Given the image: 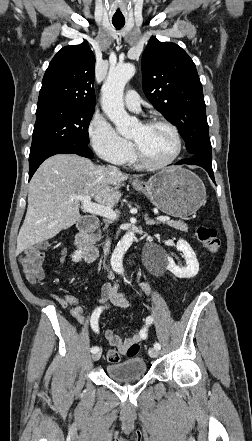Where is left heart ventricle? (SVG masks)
Returning <instances> with one entry per match:
<instances>
[{
	"instance_id": "obj_1",
	"label": "left heart ventricle",
	"mask_w": 252,
	"mask_h": 441,
	"mask_svg": "<svg viewBox=\"0 0 252 441\" xmlns=\"http://www.w3.org/2000/svg\"><path fill=\"white\" fill-rule=\"evenodd\" d=\"M130 139L140 148L144 156L153 163L167 161L175 152L176 141L165 126L145 127L139 124Z\"/></svg>"
}]
</instances>
